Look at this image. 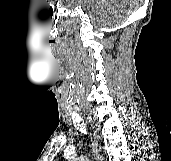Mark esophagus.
<instances>
[{
  "label": "esophagus",
  "mask_w": 171,
  "mask_h": 161,
  "mask_svg": "<svg viewBox=\"0 0 171 161\" xmlns=\"http://www.w3.org/2000/svg\"><path fill=\"white\" fill-rule=\"evenodd\" d=\"M87 121L90 122L89 117H87ZM94 155H95L96 161L101 160L100 147H99V138H98V135H97L96 131H94Z\"/></svg>",
  "instance_id": "34e87169"
}]
</instances>
